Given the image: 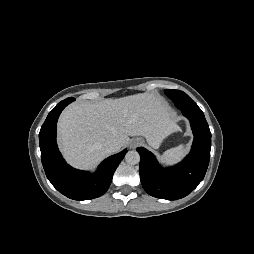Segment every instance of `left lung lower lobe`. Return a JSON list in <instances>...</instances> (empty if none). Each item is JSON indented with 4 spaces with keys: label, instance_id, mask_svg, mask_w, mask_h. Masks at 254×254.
I'll use <instances>...</instances> for the list:
<instances>
[{
    "label": "left lung lower lobe",
    "instance_id": "0a47b994",
    "mask_svg": "<svg viewBox=\"0 0 254 254\" xmlns=\"http://www.w3.org/2000/svg\"><path fill=\"white\" fill-rule=\"evenodd\" d=\"M191 124L194 141L191 152L179 164L163 168L145 148L140 154L139 172L144 190L151 196L167 200L181 199L190 194L203 180L208 168L211 132L202 111L183 110Z\"/></svg>",
    "mask_w": 254,
    "mask_h": 254
}]
</instances>
